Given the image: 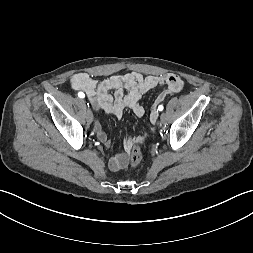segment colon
I'll use <instances>...</instances> for the list:
<instances>
[{
  "mask_svg": "<svg viewBox=\"0 0 253 253\" xmlns=\"http://www.w3.org/2000/svg\"><path fill=\"white\" fill-rule=\"evenodd\" d=\"M142 160V151L139 144H135L130 152V165L136 167Z\"/></svg>",
  "mask_w": 253,
  "mask_h": 253,
  "instance_id": "obj_1",
  "label": "colon"
}]
</instances>
